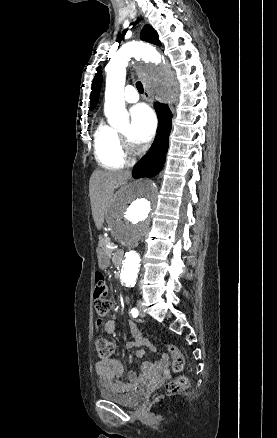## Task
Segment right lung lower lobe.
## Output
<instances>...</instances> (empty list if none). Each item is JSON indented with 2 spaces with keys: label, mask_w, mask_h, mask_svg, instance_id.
<instances>
[{
  "label": "right lung lower lobe",
  "mask_w": 277,
  "mask_h": 438,
  "mask_svg": "<svg viewBox=\"0 0 277 438\" xmlns=\"http://www.w3.org/2000/svg\"><path fill=\"white\" fill-rule=\"evenodd\" d=\"M155 109L159 118L156 138L149 152L135 165L133 177H153L161 171L168 150V137L171 131L172 113L165 104L156 103Z\"/></svg>",
  "instance_id": "1"
}]
</instances>
